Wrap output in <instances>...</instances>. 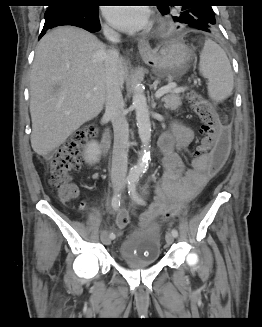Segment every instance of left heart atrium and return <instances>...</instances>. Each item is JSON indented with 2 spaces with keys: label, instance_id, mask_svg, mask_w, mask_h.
<instances>
[{
  "label": "left heart atrium",
  "instance_id": "1",
  "mask_svg": "<svg viewBox=\"0 0 262 327\" xmlns=\"http://www.w3.org/2000/svg\"><path fill=\"white\" fill-rule=\"evenodd\" d=\"M104 15L114 27L125 32L144 29L150 20L148 9L141 5H131L130 7L109 6L105 8Z\"/></svg>",
  "mask_w": 262,
  "mask_h": 327
}]
</instances>
